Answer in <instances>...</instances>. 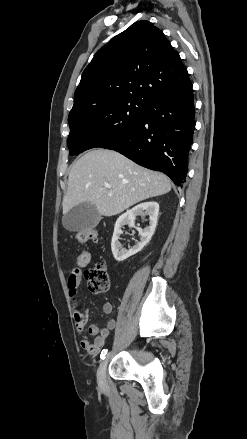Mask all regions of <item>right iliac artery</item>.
<instances>
[{"label":"right iliac artery","instance_id":"82829eb1","mask_svg":"<svg viewBox=\"0 0 247 439\" xmlns=\"http://www.w3.org/2000/svg\"><path fill=\"white\" fill-rule=\"evenodd\" d=\"M106 354H107V349H103L102 352H101L100 358L104 359Z\"/></svg>","mask_w":247,"mask_h":439}]
</instances>
